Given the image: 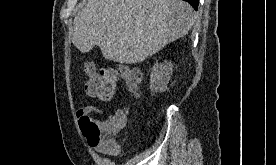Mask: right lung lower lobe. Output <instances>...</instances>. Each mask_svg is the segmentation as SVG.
<instances>
[{"instance_id": "1", "label": "right lung lower lobe", "mask_w": 276, "mask_h": 165, "mask_svg": "<svg viewBox=\"0 0 276 165\" xmlns=\"http://www.w3.org/2000/svg\"><path fill=\"white\" fill-rule=\"evenodd\" d=\"M186 2H188L190 5H192V7L197 10L198 4H199V0H184Z\"/></svg>"}]
</instances>
